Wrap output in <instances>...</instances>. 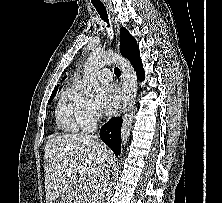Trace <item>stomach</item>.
Returning <instances> with one entry per match:
<instances>
[{"label": "stomach", "instance_id": "1", "mask_svg": "<svg viewBox=\"0 0 222 203\" xmlns=\"http://www.w3.org/2000/svg\"><path fill=\"white\" fill-rule=\"evenodd\" d=\"M71 197L66 198V203H70Z\"/></svg>", "mask_w": 222, "mask_h": 203}]
</instances>
